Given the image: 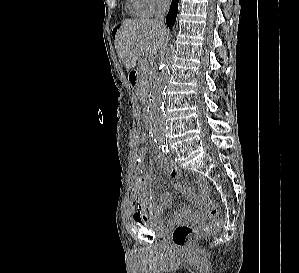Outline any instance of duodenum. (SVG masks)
<instances>
[{
  "label": "duodenum",
  "instance_id": "obj_1",
  "mask_svg": "<svg viewBox=\"0 0 299 273\" xmlns=\"http://www.w3.org/2000/svg\"><path fill=\"white\" fill-rule=\"evenodd\" d=\"M137 77H138V71L137 70L131 71L129 80L133 87L136 85Z\"/></svg>",
  "mask_w": 299,
  "mask_h": 273
}]
</instances>
